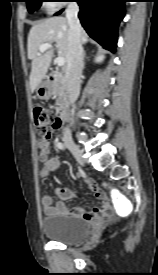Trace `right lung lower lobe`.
Listing matches in <instances>:
<instances>
[{
	"label": "right lung lower lobe",
	"instance_id": "right-lung-lower-lobe-1",
	"mask_svg": "<svg viewBox=\"0 0 158 275\" xmlns=\"http://www.w3.org/2000/svg\"><path fill=\"white\" fill-rule=\"evenodd\" d=\"M80 6L78 17L87 33L105 49L114 52L117 29L125 15L126 0H74ZM59 11L56 13L60 14Z\"/></svg>",
	"mask_w": 158,
	"mask_h": 275
}]
</instances>
